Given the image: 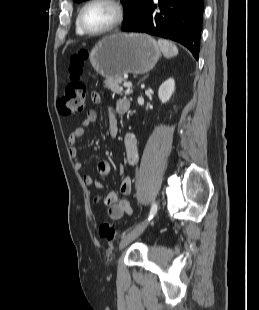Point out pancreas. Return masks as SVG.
Segmentation results:
<instances>
[{
  "label": "pancreas",
  "instance_id": "1",
  "mask_svg": "<svg viewBox=\"0 0 259 310\" xmlns=\"http://www.w3.org/2000/svg\"><path fill=\"white\" fill-rule=\"evenodd\" d=\"M125 79L122 77H118V78H107L104 81V86L106 88H108L109 90H111L113 93L115 94H120L122 95L123 93H125V95H129L133 92L132 89H127L126 91L123 90V87H121V83L124 82Z\"/></svg>",
  "mask_w": 259,
  "mask_h": 310
}]
</instances>
